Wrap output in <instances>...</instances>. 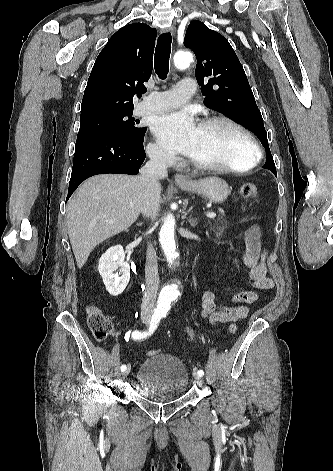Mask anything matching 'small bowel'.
I'll return each instance as SVG.
<instances>
[{"label": "small bowel", "instance_id": "c3829d8e", "mask_svg": "<svg viewBox=\"0 0 333 471\" xmlns=\"http://www.w3.org/2000/svg\"><path fill=\"white\" fill-rule=\"evenodd\" d=\"M244 249L242 262L250 269L249 282L259 290H269L274 286L272 278L268 276L265 263L266 253L261 247L260 231L257 226L248 228L242 236ZM233 306H219L214 291H205L201 299V316L212 324H223L245 319L249 313V305L258 301L259 296L253 290H241L231 296Z\"/></svg>", "mask_w": 333, "mask_h": 471}]
</instances>
